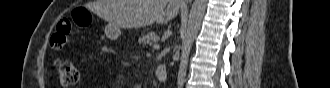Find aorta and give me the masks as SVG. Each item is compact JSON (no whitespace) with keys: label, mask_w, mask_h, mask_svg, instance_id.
I'll return each instance as SVG.
<instances>
[{"label":"aorta","mask_w":330,"mask_h":88,"mask_svg":"<svg viewBox=\"0 0 330 88\" xmlns=\"http://www.w3.org/2000/svg\"><path fill=\"white\" fill-rule=\"evenodd\" d=\"M206 6L207 0H194L192 4L187 27L182 37L181 61L177 77L178 88H183L185 84L191 47L200 29L202 18L205 14Z\"/></svg>","instance_id":"aorta-1"}]
</instances>
